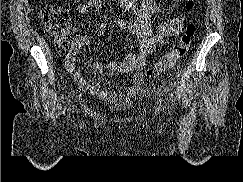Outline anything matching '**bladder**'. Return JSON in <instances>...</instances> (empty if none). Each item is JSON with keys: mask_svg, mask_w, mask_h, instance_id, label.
Returning <instances> with one entry per match:
<instances>
[{"mask_svg": "<svg viewBox=\"0 0 243 182\" xmlns=\"http://www.w3.org/2000/svg\"><path fill=\"white\" fill-rule=\"evenodd\" d=\"M134 106V103L130 99L121 100L114 104H111L108 108L113 112H127L130 111Z\"/></svg>", "mask_w": 243, "mask_h": 182, "instance_id": "bladder-1", "label": "bladder"}]
</instances>
